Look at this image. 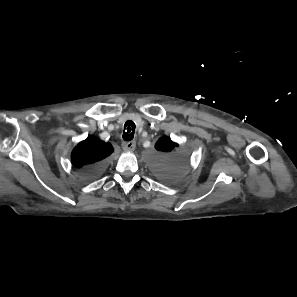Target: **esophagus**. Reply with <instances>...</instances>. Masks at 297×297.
Masks as SVG:
<instances>
[{"mask_svg":"<svg viewBox=\"0 0 297 297\" xmlns=\"http://www.w3.org/2000/svg\"><path fill=\"white\" fill-rule=\"evenodd\" d=\"M136 147L135 141L123 142L122 148L124 151H133Z\"/></svg>","mask_w":297,"mask_h":297,"instance_id":"esophagus-1","label":"esophagus"}]
</instances>
